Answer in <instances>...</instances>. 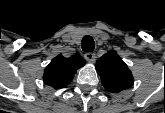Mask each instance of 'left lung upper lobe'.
<instances>
[{"instance_id":"obj_1","label":"left lung upper lobe","mask_w":165,"mask_h":113,"mask_svg":"<svg viewBox=\"0 0 165 113\" xmlns=\"http://www.w3.org/2000/svg\"><path fill=\"white\" fill-rule=\"evenodd\" d=\"M117 71H119V73H117L116 71H115V69H113V74H114V77L115 78H117V79H119V78H121V75H122V73H123V70H122V68H121V70L120 69H117ZM111 73V74H112ZM117 76H119V77H117ZM109 78H110V81H111V83H109ZM107 83H108V85H112V87H114L113 85H114V83H115V81H113V77H112V75H110L109 77H108V80H107ZM117 87V86H116Z\"/></svg>"}]
</instances>
